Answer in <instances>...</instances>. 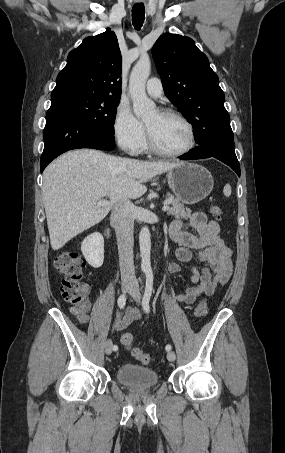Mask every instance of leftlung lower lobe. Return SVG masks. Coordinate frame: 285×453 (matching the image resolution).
Returning <instances> with one entry per match:
<instances>
[{
  "instance_id": "1",
  "label": "left lung lower lobe",
  "mask_w": 285,
  "mask_h": 453,
  "mask_svg": "<svg viewBox=\"0 0 285 453\" xmlns=\"http://www.w3.org/2000/svg\"><path fill=\"white\" fill-rule=\"evenodd\" d=\"M214 157L230 166L240 176V165L234 149V137L221 135L198 144L192 151L180 156L183 160Z\"/></svg>"
}]
</instances>
